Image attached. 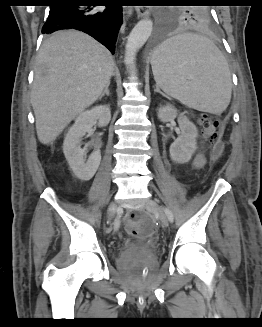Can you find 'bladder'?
Segmentation results:
<instances>
[{"label": "bladder", "instance_id": "31cf9c89", "mask_svg": "<svg viewBox=\"0 0 262 327\" xmlns=\"http://www.w3.org/2000/svg\"><path fill=\"white\" fill-rule=\"evenodd\" d=\"M139 253V246H130L124 249L119 256L118 262L121 266L126 259H131Z\"/></svg>", "mask_w": 262, "mask_h": 327}]
</instances>
